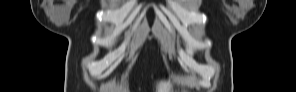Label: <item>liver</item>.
Masks as SVG:
<instances>
[{
	"instance_id": "1",
	"label": "liver",
	"mask_w": 296,
	"mask_h": 92,
	"mask_svg": "<svg viewBox=\"0 0 296 92\" xmlns=\"http://www.w3.org/2000/svg\"><path fill=\"white\" fill-rule=\"evenodd\" d=\"M157 91L156 92H169L170 90V83L161 81L157 84Z\"/></svg>"
}]
</instances>
